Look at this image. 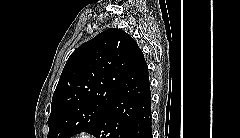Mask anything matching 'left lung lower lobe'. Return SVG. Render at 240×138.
Listing matches in <instances>:
<instances>
[{
  "instance_id": "left-lung-lower-lobe-1",
  "label": "left lung lower lobe",
  "mask_w": 240,
  "mask_h": 138,
  "mask_svg": "<svg viewBox=\"0 0 240 138\" xmlns=\"http://www.w3.org/2000/svg\"><path fill=\"white\" fill-rule=\"evenodd\" d=\"M92 134L96 138H151V93L142 51Z\"/></svg>"
}]
</instances>
